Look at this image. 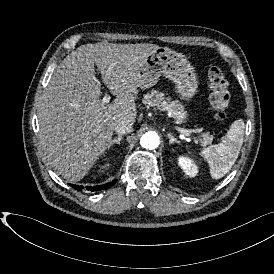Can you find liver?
<instances>
[{"instance_id": "obj_1", "label": "liver", "mask_w": 274, "mask_h": 274, "mask_svg": "<svg viewBox=\"0 0 274 274\" xmlns=\"http://www.w3.org/2000/svg\"><path fill=\"white\" fill-rule=\"evenodd\" d=\"M158 47L107 41L84 44L52 74L38 105L39 137L47 160L64 179H83L112 144L115 126L135 122L137 73ZM95 65L116 97L112 103H101Z\"/></svg>"}]
</instances>
